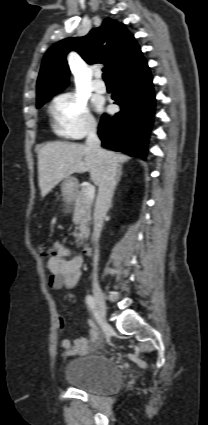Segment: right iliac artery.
Wrapping results in <instances>:
<instances>
[{
	"label": "right iliac artery",
	"mask_w": 208,
	"mask_h": 425,
	"mask_svg": "<svg viewBox=\"0 0 208 425\" xmlns=\"http://www.w3.org/2000/svg\"><path fill=\"white\" fill-rule=\"evenodd\" d=\"M86 303L88 304V306L93 310V311H95L96 310V302H95V299H94V297L93 296H91V295H88L87 297H86Z\"/></svg>",
	"instance_id": "1"
}]
</instances>
